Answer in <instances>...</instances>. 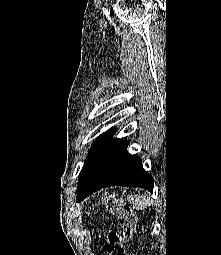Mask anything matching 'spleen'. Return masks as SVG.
Listing matches in <instances>:
<instances>
[{
	"label": "spleen",
	"mask_w": 221,
	"mask_h": 255,
	"mask_svg": "<svg viewBox=\"0 0 221 255\" xmlns=\"http://www.w3.org/2000/svg\"><path fill=\"white\" fill-rule=\"evenodd\" d=\"M129 201L133 204V208L136 210H141L151 205L150 199L143 195L130 196Z\"/></svg>",
	"instance_id": "spleen-1"
}]
</instances>
